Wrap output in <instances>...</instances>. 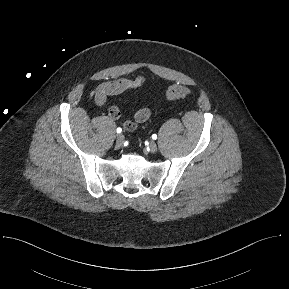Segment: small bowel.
I'll return each mask as SVG.
<instances>
[{"label":"small bowel","instance_id":"1","mask_svg":"<svg viewBox=\"0 0 289 289\" xmlns=\"http://www.w3.org/2000/svg\"><path fill=\"white\" fill-rule=\"evenodd\" d=\"M147 84V79L144 76L135 78H120L111 81H106L100 84L94 93V100L98 106L105 105L108 97L116 96L125 91L140 88ZM108 116L111 119L119 120L121 117L120 110L117 106H111L108 109ZM151 116V111L147 107L136 108L133 112L132 119L123 120L122 126L126 131H134L139 124L147 121Z\"/></svg>","mask_w":289,"mask_h":289}]
</instances>
